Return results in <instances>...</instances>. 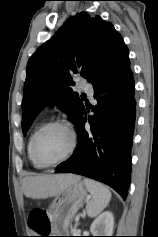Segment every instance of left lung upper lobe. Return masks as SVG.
I'll return each mask as SVG.
<instances>
[{"label":"left lung upper lobe","instance_id":"obj_1","mask_svg":"<svg viewBox=\"0 0 158 237\" xmlns=\"http://www.w3.org/2000/svg\"><path fill=\"white\" fill-rule=\"evenodd\" d=\"M128 60V48L111 23L86 12L67 19L27 63L22 101L24 135L44 105H57L77 126L84 105L71 88L73 76L79 74L96 87Z\"/></svg>","mask_w":158,"mask_h":237}]
</instances>
